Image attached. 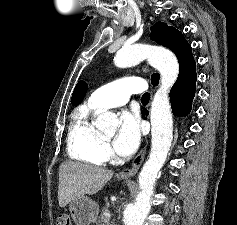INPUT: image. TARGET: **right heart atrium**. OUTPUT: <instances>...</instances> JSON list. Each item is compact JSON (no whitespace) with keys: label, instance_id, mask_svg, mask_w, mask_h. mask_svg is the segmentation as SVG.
<instances>
[{"label":"right heart atrium","instance_id":"1","mask_svg":"<svg viewBox=\"0 0 237 225\" xmlns=\"http://www.w3.org/2000/svg\"><path fill=\"white\" fill-rule=\"evenodd\" d=\"M101 152L105 160H111L113 158L112 150L107 141H103L101 146Z\"/></svg>","mask_w":237,"mask_h":225}]
</instances>
